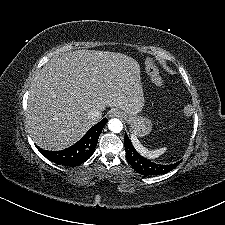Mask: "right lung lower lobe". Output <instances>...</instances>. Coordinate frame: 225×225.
<instances>
[{
    "mask_svg": "<svg viewBox=\"0 0 225 225\" xmlns=\"http://www.w3.org/2000/svg\"><path fill=\"white\" fill-rule=\"evenodd\" d=\"M107 122V118L102 119L74 145L60 151H46L39 147L37 149L50 161L64 165L77 166L88 160L97 146L98 138Z\"/></svg>",
    "mask_w": 225,
    "mask_h": 225,
    "instance_id": "1",
    "label": "right lung lower lobe"
}]
</instances>
